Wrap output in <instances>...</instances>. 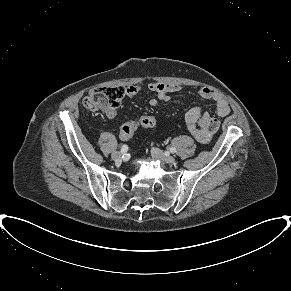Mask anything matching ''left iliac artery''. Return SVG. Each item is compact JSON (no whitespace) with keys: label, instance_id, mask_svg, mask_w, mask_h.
<instances>
[{"label":"left iliac artery","instance_id":"left-iliac-artery-1","mask_svg":"<svg viewBox=\"0 0 291 291\" xmlns=\"http://www.w3.org/2000/svg\"><path fill=\"white\" fill-rule=\"evenodd\" d=\"M168 150H169L171 153H176V148H174V147H170Z\"/></svg>","mask_w":291,"mask_h":291}]
</instances>
